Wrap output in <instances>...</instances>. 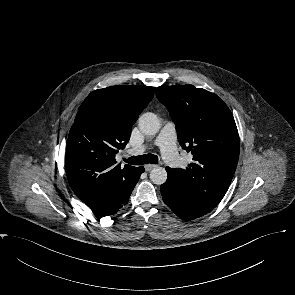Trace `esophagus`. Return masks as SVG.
Returning <instances> with one entry per match:
<instances>
[{
    "label": "esophagus",
    "mask_w": 295,
    "mask_h": 295,
    "mask_svg": "<svg viewBox=\"0 0 295 295\" xmlns=\"http://www.w3.org/2000/svg\"><path fill=\"white\" fill-rule=\"evenodd\" d=\"M157 165H154V164H147L145 165V170L146 171H150L152 169H154Z\"/></svg>",
    "instance_id": "34e87169"
}]
</instances>
